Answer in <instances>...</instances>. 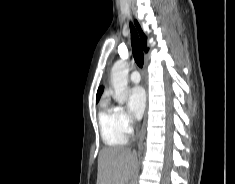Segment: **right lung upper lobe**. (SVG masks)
I'll return each mask as SVG.
<instances>
[{
	"instance_id": "1",
	"label": "right lung upper lobe",
	"mask_w": 235,
	"mask_h": 184,
	"mask_svg": "<svg viewBox=\"0 0 235 184\" xmlns=\"http://www.w3.org/2000/svg\"><path fill=\"white\" fill-rule=\"evenodd\" d=\"M135 24H136V26H137V28H138V31H139V34H140V39H141V43H142L143 49H144V51L147 52V51H148V48H147V46H146L147 37H146L145 34L142 32V30H141V28H140V26H139V24H138V22H137L136 20H135ZM102 92H103V87H100V88L98 89V91H97L96 102H98V100H99V98H100Z\"/></svg>"
}]
</instances>
